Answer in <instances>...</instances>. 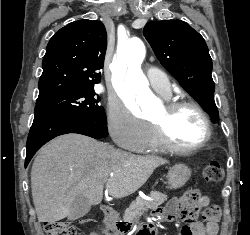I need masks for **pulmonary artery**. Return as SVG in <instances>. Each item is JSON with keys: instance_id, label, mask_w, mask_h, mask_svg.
I'll return each mask as SVG.
<instances>
[{"instance_id": "1", "label": "pulmonary artery", "mask_w": 250, "mask_h": 235, "mask_svg": "<svg viewBox=\"0 0 250 235\" xmlns=\"http://www.w3.org/2000/svg\"><path fill=\"white\" fill-rule=\"evenodd\" d=\"M148 78L153 90L162 95L163 97H169L171 94V87L168 77L159 70H150L148 72Z\"/></svg>"}]
</instances>
